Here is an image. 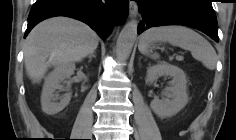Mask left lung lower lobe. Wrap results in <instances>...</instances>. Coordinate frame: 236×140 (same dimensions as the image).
<instances>
[{
    "instance_id": "obj_1",
    "label": "left lung lower lobe",
    "mask_w": 236,
    "mask_h": 140,
    "mask_svg": "<svg viewBox=\"0 0 236 140\" xmlns=\"http://www.w3.org/2000/svg\"><path fill=\"white\" fill-rule=\"evenodd\" d=\"M143 20L138 34L150 27L184 25L198 29L216 42L218 26L211 0H138Z\"/></svg>"
}]
</instances>
